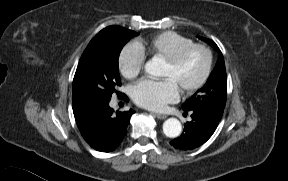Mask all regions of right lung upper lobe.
Returning a JSON list of instances; mask_svg holds the SVG:
<instances>
[{"label":"right lung upper lobe","instance_id":"1","mask_svg":"<svg viewBox=\"0 0 288 181\" xmlns=\"http://www.w3.org/2000/svg\"><path fill=\"white\" fill-rule=\"evenodd\" d=\"M73 113L77 126L83 137L88 138L92 131L96 117L102 109V105L92 104L73 94Z\"/></svg>","mask_w":288,"mask_h":181}]
</instances>
